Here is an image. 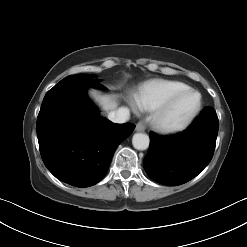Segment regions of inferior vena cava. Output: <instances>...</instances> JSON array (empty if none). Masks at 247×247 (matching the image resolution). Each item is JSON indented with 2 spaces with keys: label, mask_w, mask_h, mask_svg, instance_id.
<instances>
[{
  "label": "inferior vena cava",
  "mask_w": 247,
  "mask_h": 247,
  "mask_svg": "<svg viewBox=\"0 0 247 247\" xmlns=\"http://www.w3.org/2000/svg\"><path fill=\"white\" fill-rule=\"evenodd\" d=\"M130 118L129 109L120 107L117 110L109 112L108 119L114 123H125Z\"/></svg>",
  "instance_id": "1"
}]
</instances>
